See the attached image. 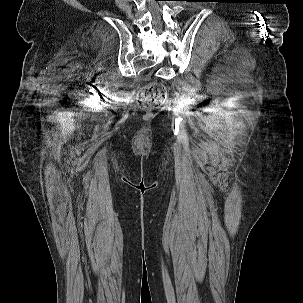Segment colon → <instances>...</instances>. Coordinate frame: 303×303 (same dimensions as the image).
<instances>
[{
    "instance_id": "obj_1",
    "label": "colon",
    "mask_w": 303,
    "mask_h": 303,
    "mask_svg": "<svg viewBox=\"0 0 303 303\" xmlns=\"http://www.w3.org/2000/svg\"><path fill=\"white\" fill-rule=\"evenodd\" d=\"M166 99L167 90L161 83L147 84L139 90L138 102L144 108H157L164 104Z\"/></svg>"
}]
</instances>
